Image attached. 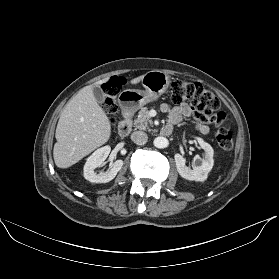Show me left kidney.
Masks as SVG:
<instances>
[{
  "label": "left kidney",
  "mask_w": 279,
  "mask_h": 279,
  "mask_svg": "<svg viewBox=\"0 0 279 279\" xmlns=\"http://www.w3.org/2000/svg\"><path fill=\"white\" fill-rule=\"evenodd\" d=\"M200 147L205 151L203 158L195 157V160L201 161L200 165H196L193 169L185 165V159L180 154H175V162L178 173L181 177L190 180L203 182L207 179L208 173L211 171L214 160V151L210 144L204 142L201 138H197Z\"/></svg>",
  "instance_id": "left-kidney-1"
}]
</instances>
